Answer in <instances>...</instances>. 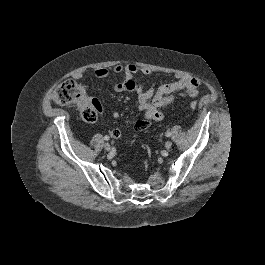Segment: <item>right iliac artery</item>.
I'll return each instance as SVG.
<instances>
[{
    "label": "right iliac artery",
    "instance_id": "1",
    "mask_svg": "<svg viewBox=\"0 0 265 265\" xmlns=\"http://www.w3.org/2000/svg\"><path fill=\"white\" fill-rule=\"evenodd\" d=\"M109 139H110V138H109V136H107V135L104 137V140H106V141H108Z\"/></svg>",
    "mask_w": 265,
    "mask_h": 265
}]
</instances>
